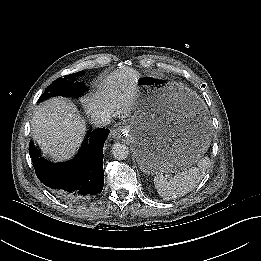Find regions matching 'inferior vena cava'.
<instances>
[{
	"label": "inferior vena cava",
	"mask_w": 261,
	"mask_h": 261,
	"mask_svg": "<svg viewBox=\"0 0 261 261\" xmlns=\"http://www.w3.org/2000/svg\"><path fill=\"white\" fill-rule=\"evenodd\" d=\"M92 123L97 127H104L111 122V113L108 110H97L91 115Z\"/></svg>",
	"instance_id": "602c4592"
}]
</instances>
